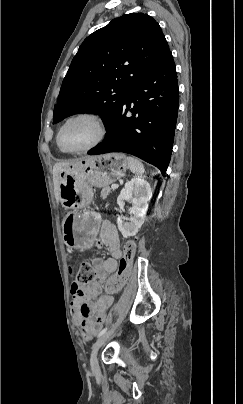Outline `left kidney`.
<instances>
[{
	"instance_id": "1",
	"label": "left kidney",
	"mask_w": 243,
	"mask_h": 404,
	"mask_svg": "<svg viewBox=\"0 0 243 404\" xmlns=\"http://www.w3.org/2000/svg\"><path fill=\"white\" fill-rule=\"evenodd\" d=\"M151 198V186L146 180H142V178H133L131 182H126L123 190L120 192V196L117 198L120 212H123L124 202H126V200H131L133 204L130 210V214H132L130 222L125 224L121 216H119L117 220V226L124 238L136 236L137 232H139L142 224H144L146 212L148 210V202Z\"/></svg>"
}]
</instances>
